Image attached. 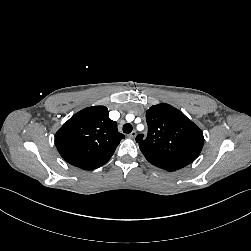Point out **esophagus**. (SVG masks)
Returning a JSON list of instances; mask_svg holds the SVG:
<instances>
[{"label":"esophagus","instance_id":"34e87169","mask_svg":"<svg viewBox=\"0 0 251 251\" xmlns=\"http://www.w3.org/2000/svg\"><path fill=\"white\" fill-rule=\"evenodd\" d=\"M136 135H137V132H136L135 130H133V131L128 135V137L133 139V138L136 137Z\"/></svg>","mask_w":251,"mask_h":251}]
</instances>
